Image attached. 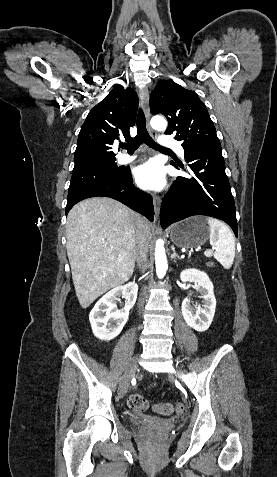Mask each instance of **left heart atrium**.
<instances>
[{
  "instance_id": "39dd6f15",
  "label": "left heart atrium",
  "mask_w": 277,
  "mask_h": 477,
  "mask_svg": "<svg viewBox=\"0 0 277 477\" xmlns=\"http://www.w3.org/2000/svg\"><path fill=\"white\" fill-rule=\"evenodd\" d=\"M135 181L143 189H160L165 184L163 167L157 161L150 160L136 168Z\"/></svg>"
}]
</instances>
